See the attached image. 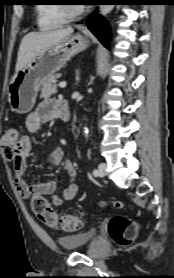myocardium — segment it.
<instances>
[{
    "instance_id": "1",
    "label": "myocardium",
    "mask_w": 174,
    "mask_h": 278,
    "mask_svg": "<svg viewBox=\"0 0 174 278\" xmlns=\"http://www.w3.org/2000/svg\"><path fill=\"white\" fill-rule=\"evenodd\" d=\"M60 11L67 20H70L79 17L84 12V9L80 6L62 4L60 5Z\"/></svg>"
}]
</instances>
